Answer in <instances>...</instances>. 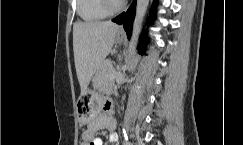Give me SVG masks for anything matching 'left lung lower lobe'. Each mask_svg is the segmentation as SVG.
<instances>
[{"instance_id": "0a47b994", "label": "left lung lower lobe", "mask_w": 243, "mask_h": 145, "mask_svg": "<svg viewBox=\"0 0 243 145\" xmlns=\"http://www.w3.org/2000/svg\"><path fill=\"white\" fill-rule=\"evenodd\" d=\"M136 12V0L132 3L128 11L125 13L120 14L119 16L115 17L112 21L117 24H123L124 29L127 33L128 38L131 36L132 32V25H133V19ZM154 12L151 13V19L154 18ZM145 40V39H144ZM144 51V47L140 48V52Z\"/></svg>"}]
</instances>
